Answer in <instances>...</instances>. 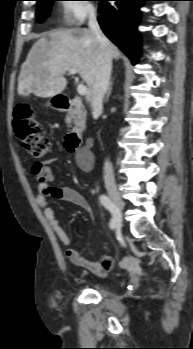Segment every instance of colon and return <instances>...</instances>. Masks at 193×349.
<instances>
[{"label": "colon", "mask_w": 193, "mask_h": 349, "mask_svg": "<svg viewBox=\"0 0 193 349\" xmlns=\"http://www.w3.org/2000/svg\"><path fill=\"white\" fill-rule=\"evenodd\" d=\"M13 127L17 140L28 154L42 158L50 152L51 142L45 136L42 124L30 106L26 104L17 106Z\"/></svg>", "instance_id": "5ec220e1"}]
</instances>
